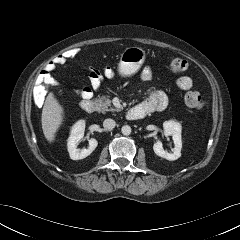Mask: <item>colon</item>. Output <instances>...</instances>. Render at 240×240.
<instances>
[{
    "instance_id": "colon-1",
    "label": "colon",
    "mask_w": 240,
    "mask_h": 240,
    "mask_svg": "<svg viewBox=\"0 0 240 240\" xmlns=\"http://www.w3.org/2000/svg\"><path fill=\"white\" fill-rule=\"evenodd\" d=\"M80 54L81 50L79 48H71L60 53L57 56L60 59V61L66 65L72 61L77 60ZM187 68L188 62L183 58L175 57L170 61V69L175 73L184 72L187 70ZM37 98L39 100H43L44 90L41 89L37 92ZM184 101L188 107L195 109L197 111L204 110L206 106L205 101L201 98L200 94L195 90L188 91L184 96Z\"/></svg>"
}]
</instances>
